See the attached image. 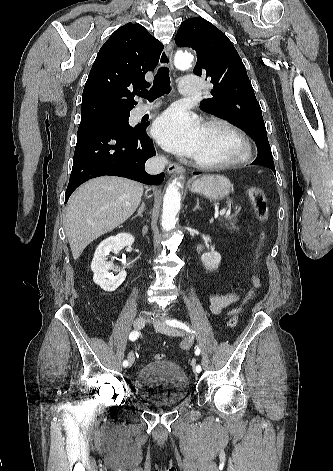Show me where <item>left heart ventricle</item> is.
I'll use <instances>...</instances> for the list:
<instances>
[{
  "label": "left heart ventricle",
  "instance_id": "left-heart-ventricle-1",
  "mask_svg": "<svg viewBox=\"0 0 333 471\" xmlns=\"http://www.w3.org/2000/svg\"><path fill=\"white\" fill-rule=\"evenodd\" d=\"M239 144L226 129L218 126L202 128V135L195 158L202 161H222L237 154Z\"/></svg>",
  "mask_w": 333,
  "mask_h": 471
}]
</instances>
